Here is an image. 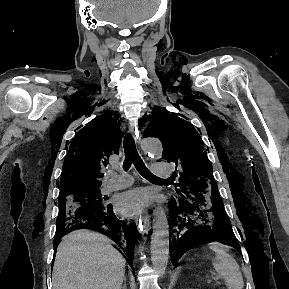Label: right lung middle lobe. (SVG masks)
<instances>
[{
    "label": "right lung middle lobe",
    "instance_id": "1",
    "mask_svg": "<svg viewBox=\"0 0 289 289\" xmlns=\"http://www.w3.org/2000/svg\"><path fill=\"white\" fill-rule=\"evenodd\" d=\"M100 189H91L63 195L59 198L57 230L67 226L73 219L89 215L107 206Z\"/></svg>",
    "mask_w": 289,
    "mask_h": 289
}]
</instances>
